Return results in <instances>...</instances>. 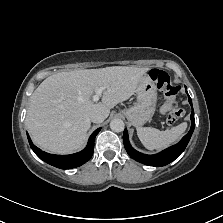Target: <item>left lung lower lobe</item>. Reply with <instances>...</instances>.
Wrapping results in <instances>:
<instances>
[{
  "label": "left lung lower lobe",
  "mask_w": 223,
  "mask_h": 223,
  "mask_svg": "<svg viewBox=\"0 0 223 223\" xmlns=\"http://www.w3.org/2000/svg\"><path fill=\"white\" fill-rule=\"evenodd\" d=\"M188 100L192 107L191 128L190 131L181 139L179 143L155 155L142 154L132 148L129 143L127 130L125 129L123 133V142L129 156L140 163L156 167L165 166L174 161L185 150L195 128L194 110L192 106V100L189 95Z\"/></svg>",
  "instance_id": "0a47b994"
}]
</instances>
